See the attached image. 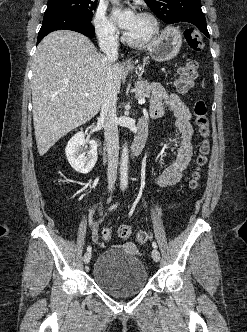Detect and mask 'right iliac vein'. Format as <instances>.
<instances>
[{
    "label": "right iliac vein",
    "mask_w": 247,
    "mask_h": 332,
    "mask_svg": "<svg viewBox=\"0 0 247 332\" xmlns=\"http://www.w3.org/2000/svg\"><path fill=\"white\" fill-rule=\"evenodd\" d=\"M92 254L91 252H87L84 254L83 261L85 264H88L91 260Z\"/></svg>",
    "instance_id": "right-iliac-vein-1"
}]
</instances>
